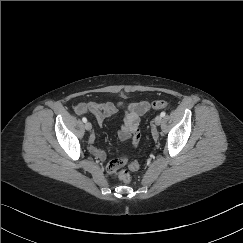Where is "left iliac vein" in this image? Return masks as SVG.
<instances>
[{
  "instance_id": "left-iliac-vein-1",
  "label": "left iliac vein",
  "mask_w": 243,
  "mask_h": 243,
  "mask_svg": "<svg viewBox=\"0 0 243 243\" xmlns=\"http://www.w3.org/2000/svg\"><path fill=\"white\" fill-rule=\"evenodd\" d=\"M154 122L157 126L160 125L162 123V117L160 115L156 116Z\"/></svg>"
}]
</instances>
